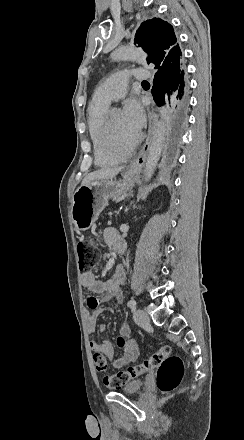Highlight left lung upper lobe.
Here are the masks:
<instances>
[{
    "label": "left lung upper lobe",
    "mask_w": 244,
    "mask_h": 440,
    "mask_svg": "<svg viewBox=\"0 0 244 440\" xmlns=\"http://www.w3.org/2000/svg\"><path fill=\"white\" fill-rule=\"evenodd\" d=\"M176 41L173 27L160 18L141 23L134 38V43L148 53L147 62L154 63L155 69L180 58L181 50Z\"/></svg>",
    "instance_id": "left-lung-upper-lobe-1"
}]
</instances>
